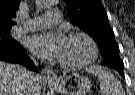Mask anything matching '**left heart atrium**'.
Here are the masks:
<instances>
[{
  "label": "left heart atrium",
  "instance_id": "1",
  "mask_svg": "<svg viewBox=\"0 0 135 95\" xmlns=\"http://www.w3.org/2000/svg\"><path fill=\"white\" fill-rule=\"evenodd\" d=\"M67 39L59 33H44L28 39L27 47L40 58L61 61Z\"/></svg>",
  "mask_w": 135,
  "mask_h": 95
}]
</instances>
